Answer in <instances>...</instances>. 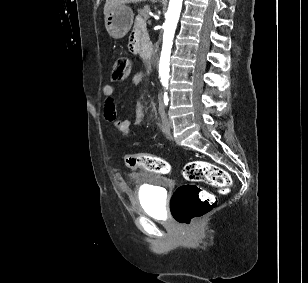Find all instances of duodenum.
<instances>
[{"label":"duodenum","mask_w":308,"mask_h":283,"mask_svg":"<svg viewBox=\"0 0 308 283\" xmlns=\"http://www.w3.org/2000/svg\"><path fill=\"white\" fill-rule=\"evenodd\" d=\"M141 48L143 51V57L146 62H149L151 60V57H153V43L151 38H144L143 42L141 43Z\"/></svg>","instance_id":"duodenum-1"}]
</instances>
